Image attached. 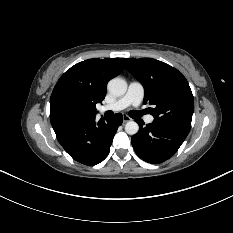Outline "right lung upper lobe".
<instances>
[{
    "label": "right lung upper lobe",
    "instance_id": "cb5924a9",
    "mask_svg": "<svg viewBox=\"0 0 233 233\" xmlns=\"http://www.w3.org/2000/svg\"><path fill=\"white\" fill-rule=\"evenodd\" d=\"M124 69L120 58L89 59L68 69L56 83L50 98V121L96 115L97 103L106 95L108 81Z\"/></svg>",
    "mask_w": 233,
    "mask_h": 233
}]
</instances>
